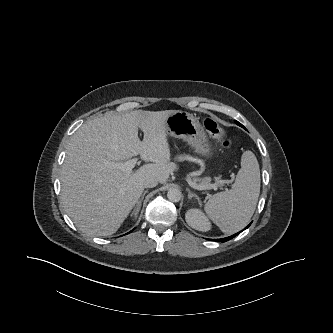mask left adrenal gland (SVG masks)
<instances>
[{"label":"left adrenal gland","mask_w":333,"mask_h":333,"mask_svg":"<svg viewBox=\"0 0 333 333\" xmlns=\"http://www.w3.org/2000/svg\"><path fill=\"white\" fill-rule=\"evenodd\" d=\"M186 191L188 192V199H192L194 197L198 201L200 200L199 197L195 193H192L189 188H186Z\"/></svg>","instance_id":"a2214340"}]
</instances>
